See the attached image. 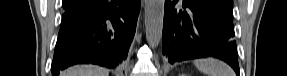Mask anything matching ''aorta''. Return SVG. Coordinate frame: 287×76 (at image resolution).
I'll return each instance as SVG.
<instances>
[{
	"label": "aorta",
	"mask_w": 287,
	"mask_h": 76,
	"mask_svg": "<svg viewBox=\"0 0 287 76\" xmlns=\"http://www.w3.org/2000/svg\"><path fill=\"white\" fill-rule=\"evenodd\" d=\"M164 5V0H145L146 38L152 48L162 40Z\"/></svg>",
	"instance_id": "762f6f07"
}]
</instances>
